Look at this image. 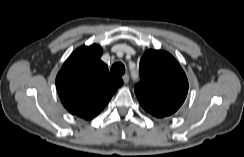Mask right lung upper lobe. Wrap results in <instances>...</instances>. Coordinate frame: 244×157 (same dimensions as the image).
<instances>
[{
    "instance_id": "1",
    "label": "right lung upper lobe",
    "mask_w": 244,
    "mask_h": 157,
    "mask_svg": "<svg viewBox=\"0 0 244 157\" xmlns=\"http://www.w3.org/2000/svg\"><path fill=\"white\" fill-rule=\"evenodd\" d=\"M96 44L76 49L56 77V88L64 107L84 119H92L108 104L123 84L121 78L109 74Z\"/></svg>"
}]
</instances>
